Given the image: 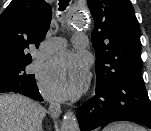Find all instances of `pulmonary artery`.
<instances>
[{
  "label": "pulmonary artery",
  "instance_id": "pulmonary-artery-1",
  "mask_svg": "<svg viewBox=\"0 0 151 131\" xmlns=\"http://www.w3.org/2000/svg\"><path fill=\"white\" fill-rule=\"evenodd\" d=\"M73 44L76 48L83 49L87 45V37L82 33L75 34L73 37ZM64 45V41L61 38H55L51 41H48L43 45L40 50L41 55H48Z\"/></svg>",
  "mask_w": 151,
  "mask_h": 131
}]
</instances>
